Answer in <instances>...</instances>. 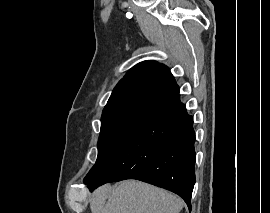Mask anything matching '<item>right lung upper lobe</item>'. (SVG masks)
Wrapping results in <instances>:
<instances>
[{"label": "right lung upper lobe", "instance_id": "1", "mask_svg": "<svg viewBox=\"0 0 270 213\" xmlns=\"http://www.w3.org/2000/svg\"><path fill=\"white\" fill-rule=\"evenodd\" d=\"M179 93L169 68L156 61L132 67L114 88L103 113L135 103L158 105Z\"/></svg>", "mask_w": 270, "mask_h": 213}]
</instances>
